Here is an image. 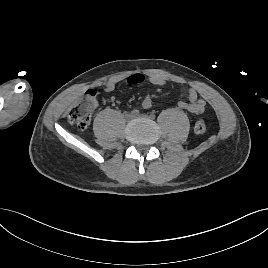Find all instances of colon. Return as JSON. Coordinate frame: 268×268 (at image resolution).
I'll list each match as a JSON object with an SVG mask.
<instances>
[{
	"label": "colon",
	"instance_id": "5ec220e1",
	"mask_svg": "<svg viewBox=\"0 0 268 268\" xmlns=\"http://www.w3.org/2000/svg\"><path fill=\"white\" fill-rule=\"evenodd\" d=\"M97 106V97L94 90H88L83 100L68 111V120L79 129H86L91 121L93 111ZM194 131L197 134H203L206 131V124L199 119L194 124Z\"/></svg>",
	"mask_w": 268,
	"mask_h": 268
}]
</instances>
